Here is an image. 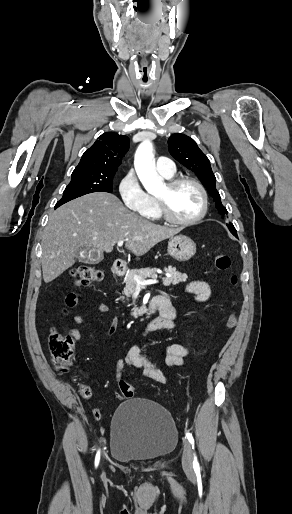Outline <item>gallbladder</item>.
Here are the masks:
<instances>
[{
  "mask_svg": "<svg viewBox=\"0 0 292 514\" xmlns=\"http://www.w3.org/2000/svg\"><path fill=\"white\" fill-rule=\"evenodd\" d=\"M76 256L79 262H85V264H90L91 262L89 258V250H86V248H81V250H78V252H76Z\"/></svg>",
  "mask_w": 292,
  "mask_h": 514,
  "instance_id": "gallbladder-1",
  "label": "gallbladder"
}]
</instances>
